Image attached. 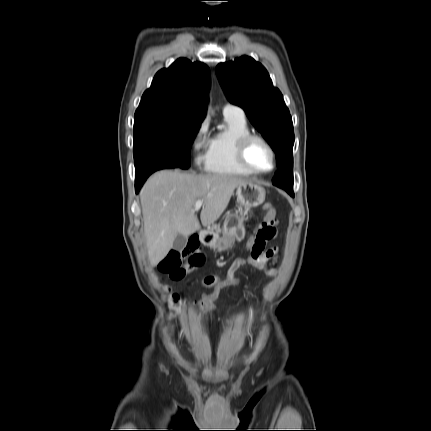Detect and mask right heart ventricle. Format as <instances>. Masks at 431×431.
<instances>
[{"label": "right heart ventricle", "instance_id": "1", "mask_svg": "<svg viewBox=\"0 0 431 431\" xmlns=\"http://www.w3.org/2000/svg\"><path fill=\"white\" fill-rule=\"evenodd\" d=\"M226 128L212 137L205 164L209 173L220 175L250 176L253 173L243 168L236 157L237 142L250 134L244 117L224 115Z\"/></svg>", "mask_w": 431, "mask_h": 431}]
</instances>
